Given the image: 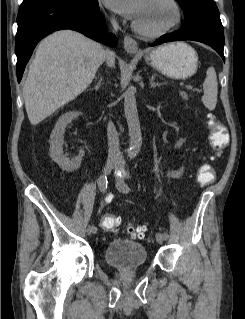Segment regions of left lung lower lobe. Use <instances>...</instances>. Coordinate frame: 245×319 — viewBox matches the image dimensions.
<instances>
[{
    "label": "left lung lower lobe",
    "mask_w": 245,
    "mask_h": 319,
    "mask_svg": "<svg viewBox=\"0 0 245 319\" xmlns=\"http://www.w3.org/2000/svg\"><path fill=\"white\" fill-rule=\"evenodd\" d=\"M177 40H195L208 44L225 60L223 54L224 33L203 25L182 27L179 30L161 36L157 42L152 43L150 46Z\"/></svg>",
    "instance_id": "left-lung-lower-lobe-1"
}]
</instances>
